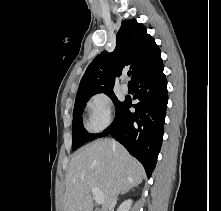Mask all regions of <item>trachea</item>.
Returning a JSON list of instances; mask_svg holds the SVG:
<instances>
[{
  "instance_id": "obj_1",
  "label": "trachea",
  "mask_w": 221,
  "mask_h": 211,
  "mask_svg": "<svg viewBox=\"0 0 221 211\" xmlns=\"http://www.w3.org/2000/svg\"><path fill=\"white\" fill-rule=\"evenodd\" d=\"M128 76H131V72L130 71L128 72Z\"/></svg>"
}]
</instances>
